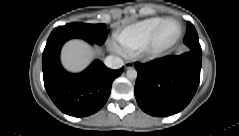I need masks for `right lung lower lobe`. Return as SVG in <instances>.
I'll use <instances>...</instances> for the list:
<instances>
[{"mask_svg": "<svg viewBox=\"0 0 239 136\" xmlns=\"http://www.w3.org/2000/svg\"><path fill=\"white\" fill-rule=\"evenodd\" d=\"M70 39L60 31L48 38L42 57L44 85L54 104L65 114L75 117L91 115L106 103L113 80L124 68L110 70L94 61L84 72L69 74L60 65L59 53Z\"/></svg>", "mask_w": 239, "mask_h": 136, "instance_id": "obj_1", "label": "right lung lower lobe"}]
</instances>
